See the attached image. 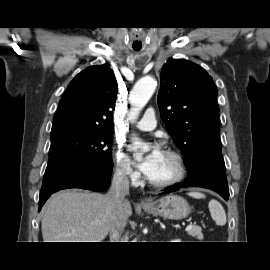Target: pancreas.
<instances>
[{"mask_svg":"<svg viewBox=\"0 0 270 270\" xmlns=\"http://www.w3.org/2000/svg\"><path fill=\"white\" fill-rule=\"evenodd\" d=\"M188 234L193 237H196L197 239H203V234L199 226L192 227L190 230H188Z\"/></svg>","mask_w":270,"mask_h":270,"instance_id":"cf45deb5","label":"pancreas"}]
</instances>
